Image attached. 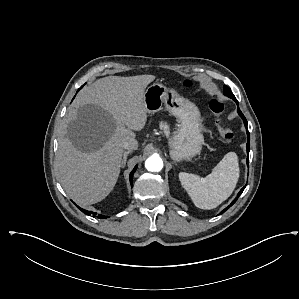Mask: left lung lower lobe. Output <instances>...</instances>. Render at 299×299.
<instances>
[{
    "mask_svg": "<svg viewBox=\"0 0 299 299\" xmlns=\"http://www.w3.org/2000/svg\"><path fill=\"white\" fill-rule=\"evenodd\" d=\"M233 100L238 105V101L236 100V98H233ZM237 112L240 115V117L243 119L244 125H245V127L247 129V146L246 147H247V153H248L247 165L249 166L250 135H249V131H248V128H247V120H246L245 116L243 115V113L241 112V110L239 108L237 109ZM244 189H245V186L240 190V192L238 193V196L232 201V203L228 207H230L233 203H235L237 201L239 195L243 192Z\"/></svg>",
    "mask_w": 299,
    "mask_h": 299,
    "instance_id": "obj_1",
    "label": "left lung lower lobe"
}]
</instances>
